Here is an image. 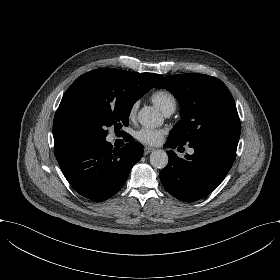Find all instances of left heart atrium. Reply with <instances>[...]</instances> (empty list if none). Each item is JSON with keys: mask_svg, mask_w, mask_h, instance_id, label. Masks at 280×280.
I'll return each mask as SVG.
<instances>
[{"mask_svg": "<svg viewBox=\"0 0 280 280\" xmlns=\"http://www.w3.org/2000/svg\"><path fill=\"white\" fill-rule=\"evenodd\" d=\"M162 135L161 130L151 128H140L134 134L137 141L147 145L157 144L162 139Z\"/></svg>", "mask_w": 280, "mask_h": 280, "instance_id": "obj_1", "label": "left heart atrium"}]
</instances>
